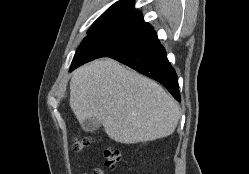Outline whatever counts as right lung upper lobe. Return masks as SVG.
Wrapping results in <instances>:
<instances>
[{"label": "right lung upper lobe", "mask_w": 249, "mask_h": 174, "mask_svg": "<svg viewBox=\"0 0 249 174\" xmlns=\"http://www.w3.org/2000/svg\"><path fill=\"white\" fill-rule=\"evenodd\" d=\"M134 2L135 0H119L94 22L89 31H98L121 25L152 28L150 24L144 22L142 13L135 10Z\"/></svg>", "instance_id": "cb5924a9"}]
</instances>
